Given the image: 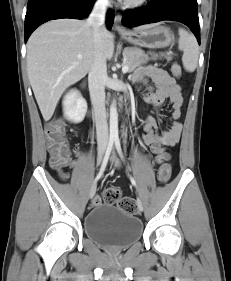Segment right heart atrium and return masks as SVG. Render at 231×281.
Returning a JSON list of instances; mask_svg holds the SVG:
<instances>
[{
	"label": "right heart atrium",
	"mask_w": 231,
	"mask_h": 281,
	"mask_svg": "<svg viewBox=\"0 0 231 281\" xmlns=\"http://www.w3.org/2000/svg\"><path fill=\"white\" fill-rule=\"evenodd\" d=\"M98 2H99L100 4L105 5V4H107L108 0H98Z\"/></svg>",
	"instance_id": "obj_1"
}]
</instances>
